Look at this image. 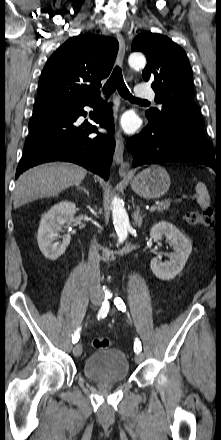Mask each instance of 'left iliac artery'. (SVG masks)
Listing matches in <instances>:
<instances>
[{"label":"left iliac artery","instance_id":"44dca946","mask_svg":"<svg viewBox=\"0 0 221 440\" xmlns=\"http://www.w3.org/2000/svg\"><path fill=\"white\" fill-rule=\"evenodd\" d=\"M112 295H110L109 297H111ZM114 304L116 305V307L118 308V310H121L122 312L126 311V306L125 303L123 302V300L120 297H115L114 298ZM134 351L136 353H139L140 351H142V346H141V342L138 341V339H136V342L134 344Z\"/></svg>","mask_w":221,"mask_h":440}]
</instances>
